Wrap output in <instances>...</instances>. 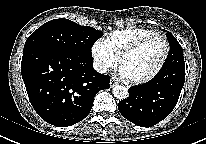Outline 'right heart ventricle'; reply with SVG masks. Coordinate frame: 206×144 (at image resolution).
Instances as JSON below:
<instances>
[{
	"label": "right heart ventricle",
	"mask_w": 206,
	"mask_h": 144,
	"mask_svg": "<svg viewBox=\"0 0 206 144\" xmlns=\"http://www.w3.org/2000/svg\"><path fill=\"white\" fill-rule=\"evenodd\" d=\"M152 34L155 33L150 29L130 27L111 32L105 41L112 52L119 57L125 48Z\"/></svg>",
	"instance_id": "1"
}]
</instances>
